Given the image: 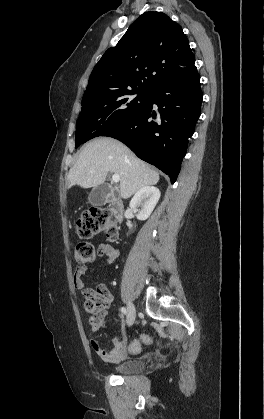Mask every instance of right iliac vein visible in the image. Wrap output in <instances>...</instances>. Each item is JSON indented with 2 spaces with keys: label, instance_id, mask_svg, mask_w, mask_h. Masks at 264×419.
<instances>
[{
  "label": "right iliac vein",
  "instance_id": "63e3f726",
  "mask_svg": "<svg viewBox=\"0 0 264 419\" xmlns=\"http://www.w3.org/2000/svg\"><path fill=\"white\" fill-rule=\"evenodd\" d=\"M136 318V310L132 303H128L127 305V324L131 326Z\"/></svg>",
  "mask_w": 264,
  "mask_h": 419
}]
</instances>
